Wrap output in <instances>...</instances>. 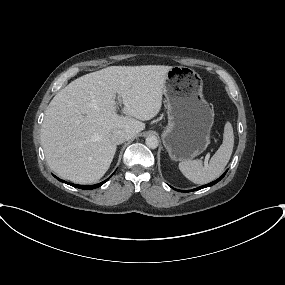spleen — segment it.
Wrapping results in <instances>:
<instances>
[{"label":"spleen","mask_w":285,"mask_h":285,"mask_svg":"<svg viewBox=\"0 0 285 285\" xmlns=\"http://www.w3.org/2000/svg\"><path fill=\"white\" fill-rule=\"evenodd\" d=\"M233 146V127L230 122H227L224 126L223 143L212 156L209 164L203 166L200 160L182 161L179 163V169L195 184L211 182L223 172L232 155Z\"/></svg>","instance_id":"1"}]
</instances>
